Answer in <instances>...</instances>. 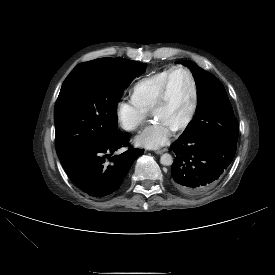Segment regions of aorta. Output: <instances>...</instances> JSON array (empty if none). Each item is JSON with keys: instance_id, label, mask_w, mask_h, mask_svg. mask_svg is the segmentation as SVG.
Returning <instances> with one entry per match:
<instances>
[{"instance_id": "obj_1", "label": "aorta", "mask_w": 275, "mask_h": 275, "mask_svg": "<svg viewBox=\"0 0 275 275\" xmlns=\"http://www.w3.org/2000/svg\"><path fill=\"white\" fill-rule=\"evenodd\" d=\"M160 163L165 166H170L173 163V158L170 154L165 153L161 156Z\"/></svg>"}]
</instances>
